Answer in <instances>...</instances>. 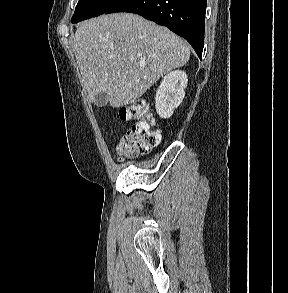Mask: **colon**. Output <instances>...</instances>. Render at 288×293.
I'll return each mask as SVG.
<instances>
[{
    "label": "colon",
    "instance_id": "1",
    "mask_svg": "<svg viewBox=\"0 0 288 293\" xmlns=\"http://www.w3.org/2000/svg\"><path fill=\"white\" fill-rule=\"evenodd\" d=\"M119 114L123 121L133 122L117 141L116 153L120 160L145 154L159 144L161 131L154 128V119L145 102L124 106Z\"/></svg>",
    "mask_w": 288,
    "mask_h": 293
}]
</instances>
